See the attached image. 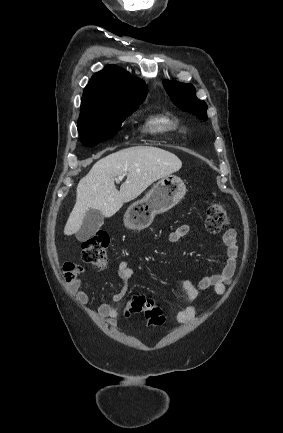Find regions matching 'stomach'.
Listing matches in <instances>:
<instances>
[{
  "instance_id": "stomach-1",
  "label": "stomach",
  "mask_w": 283,
  "mask_h": 433,
  "mask_svg": "<svg viewBox=\"0 0 283 433\" xmlns=\"http://www.w3.org/2000/svg\"><path fill=\"white\" fill-rule=\"evenodd\" d=\"M185 194L186 184L180 176H175V174L163 176L141 200H136L127 208L125 212L127 227L137 229L138 225H145L153 221L155 214L169 210Z\"/></svg>"
}]
</instances>
